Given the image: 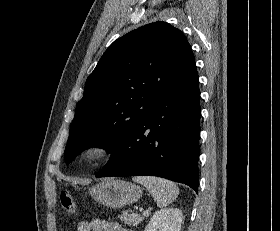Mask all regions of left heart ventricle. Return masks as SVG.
<instances>
[{
    "mask_svg": "<svg viewBox=\"0 0 280 231\" xmlns=\"http://www.w3.org/2000/svg\"><path fill=\"white\" fill-rule=\"evenodd\" d=\"M99 155H100V149L98 148L91 149L85 154L83 161L85 163H92L99 157Z\"/></svg>",
    "mask_w": 280,
    "mask_h": 231,
    "instance_id": "left-heart-ventricle-1",
    "label": "left heart ventricle"
}]
</instances>
